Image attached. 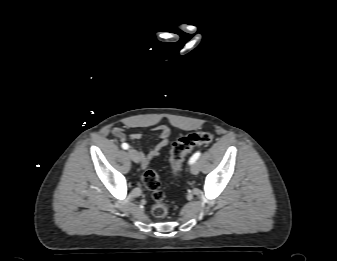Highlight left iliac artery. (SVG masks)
Wrapping results in <instances>:
<instances>
[{"instance_id":"1","label":"left iliac artery","mask_w":337,"mask_h":261,"mask_svg":"<svg viewBox=\"0 0 337 261\" xmlns=\"http://www.w3.org/2000/svg\"><path fill=\"white\" fill-rule=\"evenodd\" d=\"M200 154H201V153H200L199 151L196 152L195 154H193L192 157H191L190 160H189V163H190V164L195 163L196 160L200 157Z\"/></svg>"}]
</instances>
